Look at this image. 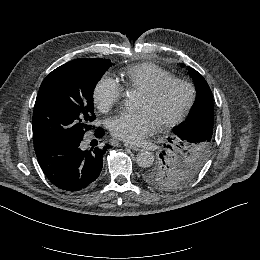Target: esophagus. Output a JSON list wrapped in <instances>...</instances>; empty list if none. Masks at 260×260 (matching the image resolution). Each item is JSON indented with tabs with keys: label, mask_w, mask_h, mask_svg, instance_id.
<instances>
[{
	"label": "esophagus",
	"mask_w": 260,
	"mask_h": 260,
	"mask_svg": "<svg viewBox=\"0 0 260 260\" xmlns=\"http://www.w3.org/2000/svg\"><path fill=\"white\" fill-rule=\"evenodd\" d=\"M124 146H126V147H128V148H130V149H132L134 151H140L141 150V148L139 146L134 145L132 143H128V142H125Z\"/></svg>",
	"instance_id": "esophagus-1"
}]
</instances>
